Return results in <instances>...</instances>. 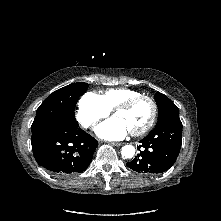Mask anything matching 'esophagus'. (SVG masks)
Segmentation results:
<instances>
[{"instance_id": "34e87169", "label": "esophagus", "mask_w": 221, "mask_h": 221, "mask_svg": "<svg viewBox=\"0 0 221 221\" xmlns=\"http://www.w3.org/2000/svg\"><path fill=\"white\" fill-rule=\"evenodd\" d=\"M109 144L112 146H121L122 145V143H120V142H109Z\"/></svg>"}]
</instances>
